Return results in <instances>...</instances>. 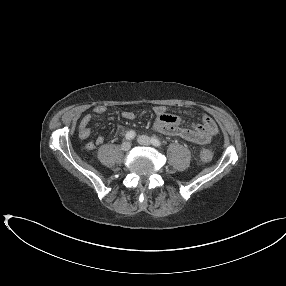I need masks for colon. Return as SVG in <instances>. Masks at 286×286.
<instances>
[{"mask_svg":"<svg viewBox=\"0 0 286 286\" xmlns=\"http://www.w3.org/2000/svg\"><path fill=\"white\" fill-rule=\"evenodd\" d=\"M200 157H201V160L204 161V162H209L211 161L212 157H213V154L210 150L208 149H203L200 153Z\"/></svg>","mask_w":286,"mask_h":286,"instance_id":"obj_1","label":"colon"}]
</instances>
